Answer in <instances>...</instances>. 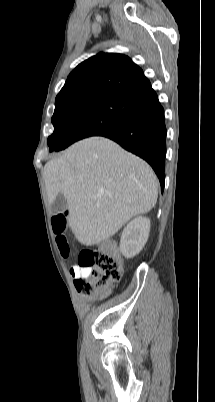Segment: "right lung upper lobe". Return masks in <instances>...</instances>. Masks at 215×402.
I'll list each match as a JSON object with an SVG mask.
<instances>
[{
	"label": "right lung upper lobe",
	"mask_w": 215,
	"mask_h": 402,
	"mask_svg": "<svg viewBox=\"0 0 215 402\" xmlns=\"http://www.w3.org/2000/svg\"><path fill=\"white\" fill-rule=\"evenodd\" d=\"M92 93L117 95L139 104L157 96L142 69L128 56L103 52L79 64L56 99Z\"/></svg>",
	"instance_id": "cb5924a9"
}]
</instances>
